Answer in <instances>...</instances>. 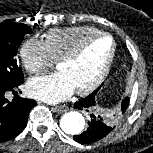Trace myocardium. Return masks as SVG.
<instances>
[{
  "label": "myocardium",
  "instance_id": "f54148a6",
  "mask_svg": "<svg viewBox=\"0 0 153 153\" xmlns=\"http://www.w3.org/2000/svg\"><path fill=\"white\" fill-rule=\"evenodd\" d=\"M100 38L110 39V41L112 43L110 55L104 65V67L102 68V70L98 74V76L90 84H88L87 86H85L83 88L75 89V92L79 95H85V94L92 92L94 89H96L104 81V79L108 75V73L111 69V66L113 64L114 58H115V54H116V42H115L114 38L110 34L104 33V32L90 36V37L86 38L85 40H83L74 50H72L70 53H68L67 55L63 56L61 59L58 60V65L62 64V63H69V62L75 61L76 59H78L82 55V53L85 51V49L92 42H94L95 40L100 39Z\"/></svg>",
  "mask_w": 153,
  "mask_h": 153
}]
</instances>
